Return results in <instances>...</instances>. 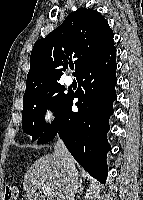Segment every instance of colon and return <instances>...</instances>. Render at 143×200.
Wrapping results in <instances>:
<instances>
[{
	"instance_id": "5ec220e1",
	"label": "colon",
	"mask_w": 143,
	"mask_h": 200,
	"mask_svg": "<svg viewBox=\"0 0 143 200\" xmlns=\"http://www.w3.org/2000/svg\"><path fill=\"white\" fill-rule=\"evenodd\" d=\"M18 189L15 186L8 185L5 189V200H17Z\"/></svg>"
}]
</instances>
